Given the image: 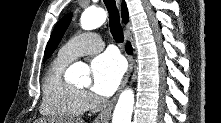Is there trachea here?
I'll return each mask as SVG.
<instances>
[{"label": "trachea", "mask_w": 221, "mask_h": 123, "mask_svg": "<svg viewBox=\"0 0 221 123\" xmlns=\"http://www.w3.org/2000/svg\"><path fill=\"white\" fill-rule=\"evenodd\" d=\"M109 13L110 32L117 43L124 41L123 29L120 24L119 12L115 0H104Z\"/></svg>", "instance_id": "trachea-1"}]
</instances>
